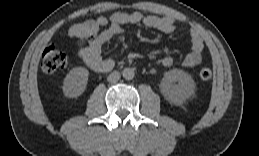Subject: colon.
Listing matches in <instances>:
<instances>
[{
  "instance_id": "colon-1",
  "label": "colon",
  "mask_w": 259,
  "mask_h": 156,
  "mask_svg": "<svg viewBox=\"0 0 259 156\" xmlns=\"http://www.w3.org/2000/svg\"><path fill=\"white\" fill-rule=\"evenodd\" d=\"M68 58L64 50L54 44L48 45L42 54L41 68L44 73L52 75L66 68ZM199 77L203 81H207L212 77L210 68H202Z\"/></svg>"
}]
</instances>
